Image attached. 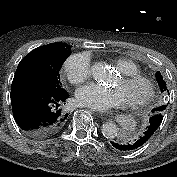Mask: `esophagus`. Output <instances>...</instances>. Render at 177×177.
I'll use <instances>...</instances> for the list:
<instances>
[{
  "label": "esophagus",
  "mask_w": 177,
  "mask_h": 177,
  "mask_svg": "<svg viewBox=\"0 0 177 177\" xmlns=\"http://www.w3.org/2000/svg\"><path fill=\"white\" fill-rule=\"evenodd\" d=\"M104 116H105L106 118H109V117L111 116V113H110L109 111H106V112L104 113Z\"/></svg>",
  "instance_id": "1"
}]
</instances>
